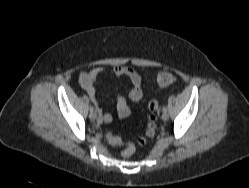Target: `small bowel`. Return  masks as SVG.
<instances>
[{"mask_svg":"<svg viewBox=\"0 0 249 188\" xmlns=\"http://www.w3.org/2000/svg\"><path fill=\"white\" fill-rule=\"evenodd\" d=\"M106 73L107 71L104 68H94L89 72L81 74L79 83L95 103L98 112V121L109 123L112 121V115L110 113L103 112L101 109L99 100L96 96L95 88V82L98 77ZM111 74L119 78L126 77L129 79L131 88L128 96L132 102L139 103L142 100V79L134 69L127 66H116L113 68ZM117 111L121 118H127L131 114V109L127 104L126 98L120 94L117 96Z\"/></svg>","mask_w":249,"mask_h":188,"instance_id":"obj_1","label":"small bowel"}]
</instances>
